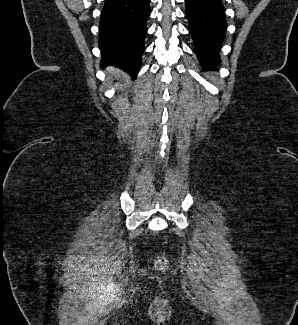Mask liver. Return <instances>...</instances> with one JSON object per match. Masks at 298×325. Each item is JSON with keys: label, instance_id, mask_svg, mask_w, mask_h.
<instances>
[{"label": "liver", "instance_id": "6515ba94", "mask_svg": "<svg viewBox=\"0 0 298 325\" xmlns=\"http://www.w3.org/2000/svg\"><path fill=\"white\" fill-rule=\"evenodd\" d=\"M107 70H110V72H114V74H119L120 70H117V68H107Z\"/></svg>", "mask_w": 298, "mask_h": 325}]
</instances>
